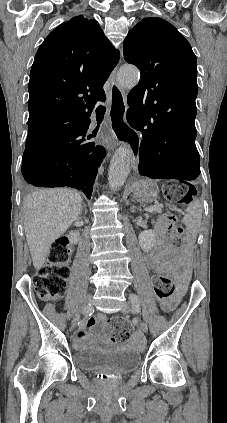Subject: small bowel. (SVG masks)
<instances>
[{
  "mask_svg": "<svg viewBox=\"0 0 227 423\" xmlns=\"http://www.w3.org/2000/svg\"><path fill=\"white\" fill-rule=\"evenodd\" d=\"M167 250L164 248L162 243H158L156 247L149 252L145 257V262L148 268L153 270L156 274H167L172 273L180 281V284L185 283L189 276V266L187 263V255L182 254L178 257L173 258L170 261L165 262V255ZM179 302V294L175 295L170 300H165L161 303V307L165 312H171L177 306ZM105 321V317L102 314H98L87 320L84 326L76 333L74 341L77 347H84L86 342L89 340L92 329L97 324H102ZM134 342L141 340L139 335H136L132 339Z\"/></svg>",
  "mask_w": 227,
  "mask_h": 423,
  "instance_id": "small-bowel-1",
  "label": "small bowel"
}]
</instances>
